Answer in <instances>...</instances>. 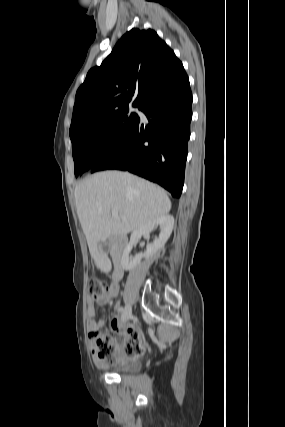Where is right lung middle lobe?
I'll return each mask as SVG.
<instances>
[{
	"instance_id": "right-lung-middle-lobe-1",
	"label": "right lung middle lobe",
	"mask_w": 285,
	"mask_h": 427,
	"mask_svg": "<svg viewBox=\"0 0 285 427\" xmlns=\"http://www.w3.org/2000/svg\"><path fill=\"white\" fill-rule=\"evenodd\" d=\"M133 106L139 108L138 104ZM138 118L127 106L70 133L75 175L106 159L126 139Z\"/></svg>"
}]
</instances>
